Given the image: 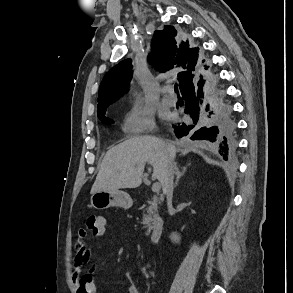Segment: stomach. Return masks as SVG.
Masks as SVG:
<instances>
[{
	"instance_id": "1",
	"label": "stomach",
	"mask_w": 293,
	"mask_h": 293,
	"mask_svg": "<svg viewBox=\"0 0 293 293\" xmlns=\"http://www.w3.org/2000/svg\"><path fill=\"white\" fill-rule=\"evenodd\" d=\"M132 204L133 201L130 195L119 190L113 193L105 191L95 192L91 196V206L98 210L107 209L109 207L128 209Z\"/></svg>"
}]
</instances>
